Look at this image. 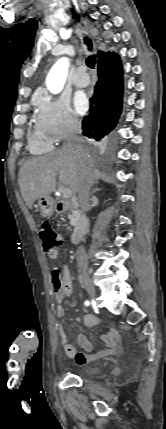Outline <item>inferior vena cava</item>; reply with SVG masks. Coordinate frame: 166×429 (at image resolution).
Segmentation results:
<instances>
[{
  "label": "inferior vena cava",
  "mask_w": 166,
  "mask_h": 429,
  "mask_svg": "<svg viewBox=\"0 0 166 429\" xmlns=\"http://www.w3.org/2000/svg\"><path fill=\"white\" fill-rule=\"evenodd\" d=\"M80 134L81 123L75 119H71L63 148L68 149L76 154L82 162L79 177L78 197L80 206L85 209L89 204V191L93 182V174L91 166L89 165L86 155L83 151V146L81 145L83 140ZM76 256L78 261H86L84 247L80 246L78 248Z\"/></svg>",
  "instance_id": "602c4592"
}]
</instances>
